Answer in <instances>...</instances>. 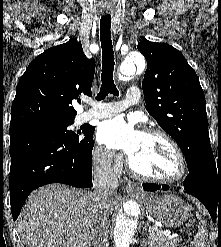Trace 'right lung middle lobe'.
Wrapping results in <instances>:
<instances>
[{"mask_svg":"<svg viewBox=\"0 0 221 247\" xmlns=\"http://www.w3.org/2000/svg\"><path fill=\"white\" fill-rule=\"evenodd\" d=\"M72 123L73 121L64 122V123H45V124L29 127L28 129H36V130L48 132L64 141L70 142L72 144H79L81 146H87L89 143L93 141V132L91 130L92 127L81 128V131H79L78 133L81 134L82 132L85 135V137L81 139L73 131L68 130V127Z\"/></svg>","mask_w":221,"mask_h":247,"instance_id":"obj_1","label":"right lung middle lobe"}]
</instances>
